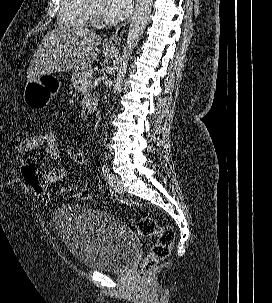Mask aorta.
Here are the masks:
<instances>
[{"mask_svg":"<svg viewBox=\"0 0 272 303\" xmlns=\"http://www.w3.org/2000/svg\"><path fill=\"white\" fill-rule=\"evenodd\" d=\"M152 4L153 0H136L133 17L127 34L126 44L123 50V62L114 82V94L121 89L124 74L126 73L128 65L129 56L137 46L144 33L151 13Z\"/></svg>","mask_w":272,"mask_h":303,"instance_id":"aorta-1","label":"aorta"}]
</instances>
